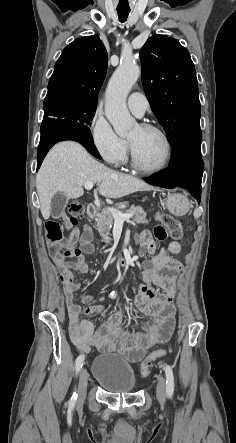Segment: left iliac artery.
I'll list each match as a JSON object with an SVG mask.
<instances>
[{
    "label": "left iliac artery",
    "instance_id": "obj_1",
    "mask_svg": "<svg viewBox=\"0 0 236 443\" xmlns=\"http://www.w3.org/2000/svg\"><path fill=\"white\" fill-rule=\"evenodd\" d=\"M164 370H165V374H166V393H167L168 397L171 398L174 393L173 370L170 365H166Z\"/></svg>",
    "mask_w": 236,
    "mask_h": 443
}]
</instances>
